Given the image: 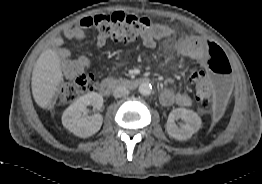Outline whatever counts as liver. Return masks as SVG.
<instances>
[{"label": "liver", "instance_id": "6515ba94", "mask_svg": "<svg viewBox=\"0 0 262 184\" xmlns=\"http://www.w3.org/2000/svg\"><path fill=\"white\" fill-rule=\"evenodd\" d=\"M62 81L63 74L57 52L53 49L44 50L35 63L31 82L33 98L39 107H52L53 98Z\"/></svg>", "mask_w": 262, "mask_h": 184}]
</instances>
